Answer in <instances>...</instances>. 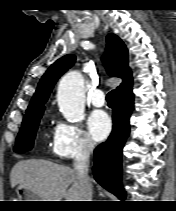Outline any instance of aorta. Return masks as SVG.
<instances>
[{
  "instance_id": "762f6f07",
  "label": "aorta",
  "mask_w": 176,
  "mask_h": 211,
  "mask_svg": "<svg viewBox=\"0 0 176 211\" xmlns=\"http://www.w3.org/2000/svg\"><path fill=\"white\" fill-rule=\"evenodd\" d=\"M57 102L64 118L70 122L80 121L84 114L83 76L76 71L67 73L58 85Z\"/></svg>"
}]
</instances>
